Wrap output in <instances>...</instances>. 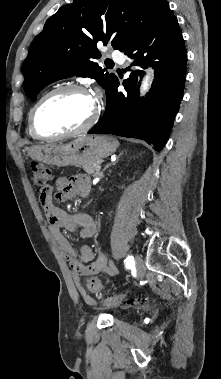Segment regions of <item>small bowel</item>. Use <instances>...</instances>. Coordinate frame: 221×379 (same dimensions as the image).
I'll return each instance as SVG.
<instances>
[{"instance_id": "obj_1", "label": "small bowel", "mask_w": 221, "mask_h": 379, "mask_svg": "<svg viewBox=\"0 0 221 379\" xmlns=\"http://www.w3.org/2000/svg\"><path fill=\"white\" fill-rule=\"evenodd\" d=\"M56 199L67 201L76 196L85 197L88 195L90 185L84 177L68 179L60 177L56 180ZM49 221V230L53 238L65 254L71 266V275L78 292L88 303H93V299L86 294L81 285L80 278L100 273L110 276H117V267L108 260L103 252L94 253L88 245H82L78 250L73 247L65 233L79 231L83 239L92 238L97 232V226L90 215L86 213L69 214L53 204L52 192L46 197L40 198Z\"/></svg>"}]
</instances>
